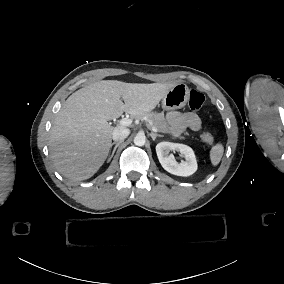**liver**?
Listing matches in <instances>:
<instances>
[{
    "label": "liver",
    "instance_id": "1",
    "mask_svg": "<svg viewBox=\"0 0 284 284\" xmlns=\"http://www.w3.org/2000/svg\"><path fill=\"white\" fill-rule=\"evenodd\" d=\"M176 85L102 80L77 90L51 128L48 146L54 166L74 181L91 178L110 155L115 127L108 121L124 112L134 117L149 114Z\"/></svg>",
    "mask_w": 284,
    "mask_h": 284
}]
</instances>
